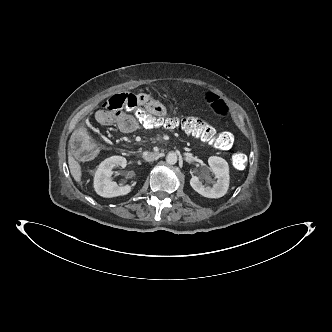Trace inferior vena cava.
I'll list each match as a JSON object with an SVG mask.
<instances>
[{
  "mask_svg": "<svg viewBox=\"0 0 332 332\" xmlns=\"http://www.w3.org/2000/svg\"><path fill=\"white\" fill-rule=\"evenodd\" d=\"M158 156V153L157 152H150V153H147L145 156H144V159L148 162L150 161H153L154 159H156Z\"/></svg>",
  "mask_w": 332,
  "mask_h": 332,
  "instance_id": "inferior-vena-cava-1",
  "label": "inferior vena cava"
}]
</instances>
